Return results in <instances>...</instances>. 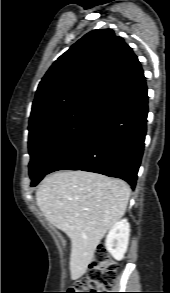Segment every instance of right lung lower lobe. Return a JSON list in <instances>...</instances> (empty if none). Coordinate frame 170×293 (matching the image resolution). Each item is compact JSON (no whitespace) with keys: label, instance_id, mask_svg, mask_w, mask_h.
I'll list each match as a JSON object with an SVG mask.
<instances>
[{"label":"right lung lower lobe","instance_id":"right-lung-lower-lobe-1","mask_svg":"<svg viewBox=\"0 0 170 293\" xmlns=\"http://www.w3.org/2000/svg\"><path fill=\"white\" fill-rule=\"evenodd\" d=\"M145 81L106 103L85 133L50 167L121 178L135 188L147 130Z\"/></svg>","mask_w":170,"mask_h":293}]
</instances>
